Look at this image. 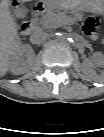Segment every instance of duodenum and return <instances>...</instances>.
Wrapping results in <instances>:
<instances>
[{"label": "duodenum", "instance_id": "duodenum-1", "mask_svg": "<svg viewBox=\"0 0 104 137\" xmlns=\"http://www.w3.org/2000/svg\"><path fill=\"white\" fill-rule=\"evenodd\" d=\"M48 10L47 6L43 4H38L33 10L31 14V19L22 23V32L25 35H29L33 30V19L39 16L41 13L46 12Z\"/></svg>", "mask_w": 104, "mask_h": 137}]
</instances>
